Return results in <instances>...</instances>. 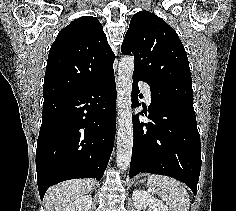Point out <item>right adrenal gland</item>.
Listing matches in <instances>:
<instances>
[{
	"label": "right adrenal gland",
	"instance_id": "1",
	"mask_svg": "<svg viewBox=\"0 0 236 211\" xmlns=\"http://www.w3.org/2000/svg\"><path fill=\"white\" fill-rule=\"evenodd\" d=\"M92 190H96L95 184H93V188H92Z\"/></svg>",
	"mask_w": 236,
	"mask_h": 211
}]
</instances>
